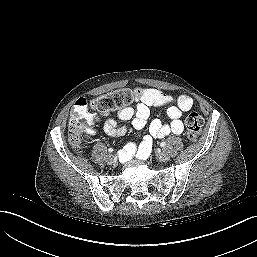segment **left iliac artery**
Listing matches in <instances>:
<instances>
[{"instance_id": "left-iliac-artery-1", "label": "left iliac artery", "mask_w": 257, "mask_h": 257, "mask_svg": "<svg viewBox=\"0 0 257 257\" xmlns=\"http://www.w3.org/2000/svg\"><path fill=\"white\" fill-rule=\"evenodd\" d=\"M160 146H161V147H165V146H166V142H164V141L161 142Z\"/></svg>"}]
</instances>
